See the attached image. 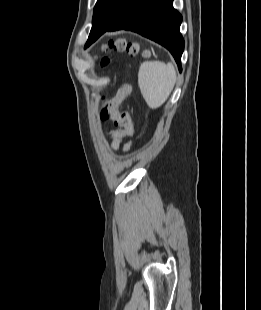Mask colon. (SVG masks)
<instances>
[{"label":"colon","mask_w":261,"mask_h":310,"mask_svg":"<svg viewBox=\"0 0 261 310\" xmlns=\"http://www.w3.org/2000/svg\"><path fill=\"white\" fill-rule=\"evenodd\" d=\"M107 48L116 51H125L130 55H136L140 47L138 43L127 41L125 39H117L110 41ZM107 60L104 61V64ZM132 87L129 83H124L116 92L113 98L105 100L100 108L99 117L101 120L112 121L116 129L112 132L114 138H129L133 133V125L130 114L128 112H120L119 107L124 100L131 94Z\"/></svg>","instance_id":"colon-1"}]
</instances>
